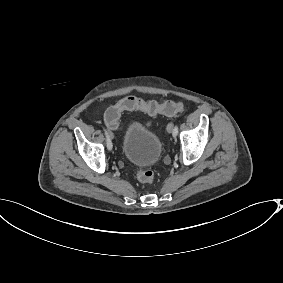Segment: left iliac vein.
Wrapping results in <instances>:
<instances>
[{
	"label": "left iliac vein",
	"instance_id": "obj_1",
	"mask_svg": "<svg viewBox=\"0 0 283 283\" xmlns=\"http://www.w3.org/2000/svg\"><path fill=\"white\" fill-rule=\"evenodd\" d=\"M167 131L169 133L173 132V124L172 123H169L168 126H167Z\"/></svg>",
	"mask_w": 283,
	"mask_h": 283
}]
</instances>
